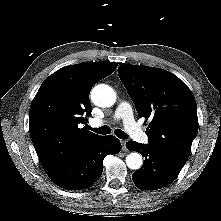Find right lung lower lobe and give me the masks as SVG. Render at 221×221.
<instances>
[{
  "label": "right lung lower lobe",
  "instance_id": "obj_1",
  "mask_svg": "<svg viewBox=\"0 0 221 221\" xmlns=\"http://www.w3.org/2000/svg\"><path fill=\"white\" fill-rule=\"evenodd\" d=\"M120 150L121 143L115 136H100L47 175L64 189H86L100 178L104 158L109 154H117Z\"/></svg>",
  "mask_w": 221,
  "mask_h": 221
}]
</instances>
